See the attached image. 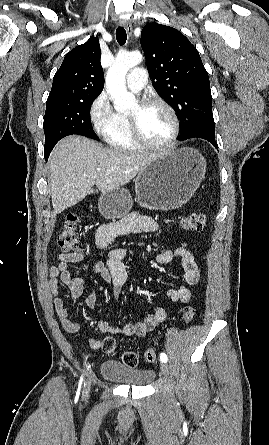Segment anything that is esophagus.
<instances>
[{
    "label": "esophagus",
    "instance_id": "obj_1",
    "mask_svg": "<svg viewBox=\"0 0 269 445\" xmlns=\"http://www.w3.org/2000/svg\"><path fill=\"white\" fill-rule=\"evenodd\" d=\"M120 25L123 26V27L126 29L128 35H131V34H132L133 28H132V24H131L130 21H127V20H121V21H120Z\"/></svg>",
    "mask_w": 269,
    "mask_h": 445
}]
</instances>
